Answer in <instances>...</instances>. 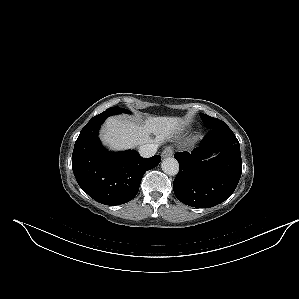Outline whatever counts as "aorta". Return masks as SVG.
Returning a JSON list of instances; mask_svg holds the SVG:
<instances>
[{"mask_svg":"<svg viewBox=\"0 0 299 299\" xmlns=\"http://www.w3.org/2000/svg\"><path fill=\"white\" fill-rule=\"evenodd\" d=\"M161 168L168 175H176L179 171V163L173 157H167L162 161Z\"/></svg>","mask_w":299,"mask_h":299,"instance_id":"obj_1","label":"aorta"}]
</instances>
